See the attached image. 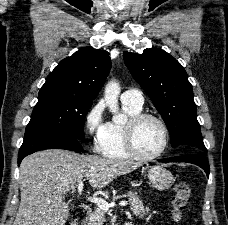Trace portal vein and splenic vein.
<instances>
[{"instance_id":"portal-vein-and-splenic-vein-1","label":"portal vein and splenic vein","mask_w":228,"mask_h":225,"mask_svg":"<svg viewBox=\"0 0 228 225\" xmlns=\"http://www.w3.org/2000/svg\"><path fill=\"white\" fill-rule=\"evenodd\" d=\"M83 189H84V184L82 183V181H79V184H77L76 188H74V193H77L79 196H82ZM89 201H91V203H95V205H97L99 209H102V211H108L110 207H115L116 205V203H106L104 199H97V197L96 199H89ZM120 205H122V207H126L128 203H120Z\"/></svg>"}]
</instances>
